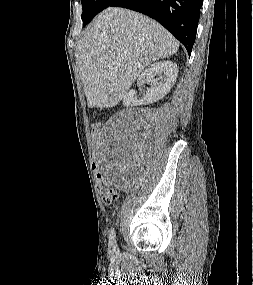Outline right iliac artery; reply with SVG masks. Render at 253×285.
I'll list each match as a JSON object with an SVG mask.
<instances>
[{"mask_svg":"<svg viewBox=\"0 0 253 285\" xmlns=\"http://www.w3.org/2000/svg\"><path fill=\"white\" fill-rule=\"evenodd\" d=\"M109 247L111 249H115L116 248V239H115L114 228L111 229L110 234H109Z\"/></svg>","mask_w":253,"mask_h":285,"instance_id":"82829eb1","label":"right iliac artery"}]
</instances>
